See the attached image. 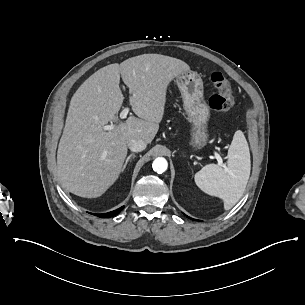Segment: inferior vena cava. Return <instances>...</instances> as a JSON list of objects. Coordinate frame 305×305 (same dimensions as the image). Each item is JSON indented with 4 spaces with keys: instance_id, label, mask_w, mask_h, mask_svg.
Listing matches in <instances>:
<instances>
[{
    "instance_id": "obj_1",
    "label": "inferior vena cava",
    "mask_w": 305,
    "mask_h": 305,
    "mask_svg": "<svg viewBox=\"0 0 305 305\" xmlns=\"http://www.w3.org/2000/svg\"><path fill=\"white\" fill-rule=\"evenodd\" d=\"M128 147L131 151L140 152L146 148L147 143L143 140L130 139L127 142Z\"/></svg>"
}]
</instances>
